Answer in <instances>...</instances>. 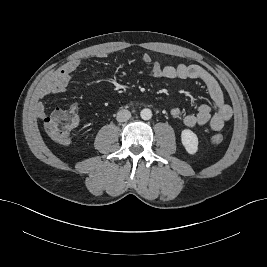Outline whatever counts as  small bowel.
<instances>
[{"mask_svg": "<svg viewBox=\"0 0 267 267\" xmlns=\"http://www.w3.org/2000/svg\"><path fill=\"white\" fill-rule=\"evenodd\" d=\"M97 57L105 58L106 54L99 53ZM79 65L80 63L78 60H73L67 63L62 69L58 70L42 88L41 96L66 92L70 80L73 74L78 70ZM146 68H150V74L155 78L193 79L200 80L204 83L215 107V111L212 112L211 107L207 104L200 105L196 113L186 114L183 117V122L187 127H197L208 124L213 131H219L231 118L232 109L226 103L217 80L201 66L185 64L164 66L157 61L153 62L150 55L144 54L141 59V69L139 73H142ZM35 111L36 115L41 119L47 116L45 106L41 102L36 106ZM69 111L77 113V104H72ZM170 114L173 118H179L181 116V110L178 107H174L171 109Z\"/></svg>", "mask_w": 267, "mask_h": 267, "instance_id": "1", "label": "small bowel"}]
</instances>
